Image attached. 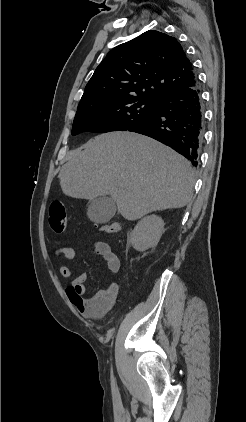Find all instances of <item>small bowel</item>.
Here are the masks:
<instances>
[{
  "label": "small bowel",
  "instance_id": "c3829d8e",
  "mask_svg": "<svg viewBox=\"0 0 246 422\" xmlns=\"http://www.w3.org/2000/svg\"><path fill=\"white\" fill-rule=\"evenodd\" d=\"M95 253L103 258L108 269L115 273L120 269V261L113 252L110 245L103 241L93 243ZM57 255L63 256L67 260H73L76 256L74 248L63 246L57 250ZM59 274L64 278H72L73 270L68 266H60ZM87 275L81 273L76 276L66 287V295L70 302L88 318H102L112 310L119 294V287L116 283L110 284L105 290L98 294L85 297Z\"/></svg>",
  "mask_w": 246,
  "mask_h": 422
}]
</instances>
